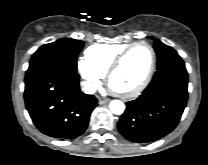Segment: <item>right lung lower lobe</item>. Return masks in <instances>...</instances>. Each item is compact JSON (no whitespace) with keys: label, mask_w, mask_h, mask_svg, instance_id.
<instances>
[{"label":"right lung lower lobe","mask_w":208,"mask_h":165,"mask_svg":"<svg viewBox=\"0 0 208 165\" xmlns=\"http://www.w3.org/2000/svg\"><path fill=\"white\" fill-rule=\"evenodd\" d=\"M24 98L34 125L44 134L74 139L87 128L97 98L80 91L77 68L46 62L26 72Z\"/></svg>","instance_id":"obj_1"}]
</instances>
